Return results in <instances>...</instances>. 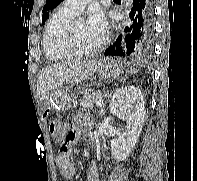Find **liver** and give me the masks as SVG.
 Wrapping results in <instances>:
<instances>
[{"instance_id": "6515ba94", "label": "liver", "mask_w": 197, "mask_h": 181, "mask_svg": "<svg viewBox=\"0 0 197 181\" xmlns=\"http://www.w3.org/2000/svg\"><path fill=\"white\" fill-rule=\"evenodd\" d=\"M97 63L62 62L42 69L37 80V94L41 102L47 100L52 92L63 85L78 83L95 72Z\"/></svg>"}]
</instances>
